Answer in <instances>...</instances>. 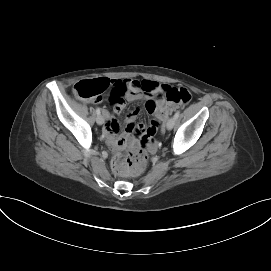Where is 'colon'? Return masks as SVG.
I'll use <instances>...</instances> for the list:
<instances>
[{"label": "colon", "instance_id": "1", "mask_svg": "<svg viewBox=\"0 0 271 271\" xmlns=\"http://www.w3.org/2000/svg\"><path fill=\"white\" fill-rule=\"evenodd\" d=\"M110 81L105 78L82 80L75 84L73 90L77 97L87 100H97L107 90ZM173 105H185L191 100V94L185 88L166 86L159 95ZM159 123L153 121L147 133L142 137L141 146L136 147L121 155L113 157L114 171L123 176H135L143 172L147 164V150L154 145L153 135Z\"/></svg>", "mask_w": 271, "mask_h": 271}]
</instances>
